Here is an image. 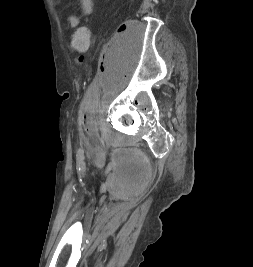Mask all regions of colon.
Segmentation results:
<instances>
[{"label": "colon", "mask_w": 253, "mask_h": 267, "mask_svg": "<svg viewBox=\"0 0 253 267\" xmlns=\"http://www.w3.org/2000/svg\"><path fill=\"white\" fill-rule=\"evenodd\" d=\"M72 46L80 54L76 58L77 63L83 62V54H85L90 46V33L87 27H79L75 29L72 37Z\"/></svg>", "instance_id": "1"}]
</instances>
